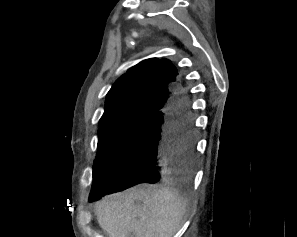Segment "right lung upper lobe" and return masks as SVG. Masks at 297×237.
Listing matches in <instances>:
<instances>
[{
  "label": "right lung upper lobe",
  "instance_id": "1",
  "mask_svg": "<svg viewBox=\"0 0 297 237\" xmlns=\"http://www.w3.org/2000/svg\"><path fill=\"white\" fill-rule=\"evenodd\" d=\"M169 60L150 58L130 68L106 95L99 126L128 116L148 115L165 109L171 95L182 88Z\"/></svg>",
  "mask_w": 297,
  "mask_h": 237
}]
</instances>
